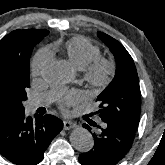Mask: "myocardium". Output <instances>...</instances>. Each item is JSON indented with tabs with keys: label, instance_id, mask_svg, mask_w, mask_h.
<instances>
[{
	"label": "myocardium",
	"instance_id": "1",
	"mask_svg": "<svg viewBox=\"0 0 165 165\" xmlns=\"http://www.w3.org/2000/svg\"><path fill=\"white\" fill-rule=\"evenodd\" d=\"M116 72L114 62L105 57L95 58L83 69V80L95 90H103L110 85Z\"/></svg>",
	"mask_w": 165,
	"mask_h": 165
}]
</instances>
